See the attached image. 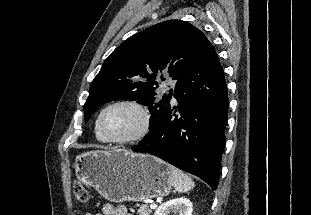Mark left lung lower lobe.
<instances>
[{"mask_svg": "<svg viewBox=\"0 0 311 215\" xmlns=\"http://www.w3.org/2000/svg\"><path fill=\"white\" fill-rule=\"evenodd\" d=\"M172 95L178 105L171 104V97L149 133L132 150L160 157L216 189L225 146L228 95L218 55L207 38L177 80Z\"/></svg>", "mask_w": 311, "mask_h": 215, "instance_id": "1", "label": "left lung lower lobe"}]
</instances>
